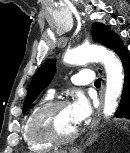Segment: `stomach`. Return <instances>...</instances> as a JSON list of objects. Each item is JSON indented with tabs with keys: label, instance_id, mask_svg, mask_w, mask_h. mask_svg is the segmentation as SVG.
<instances>
[{
	"label": "stomach",
	"instance_id": "1",
	"mask_svg": "<svg viewBox=\"0 0 130 153\" xmlns=\"http://www.w3.org/2000/svg\"><path fill=\"white\" fill-rule=\"evenodd\" d=\"M97 137L96 134H93L92 138L89 139L90 143Z\"/></svg>",
	"mask_w": 130,
	"mask_h": 153
}]
</instances>
